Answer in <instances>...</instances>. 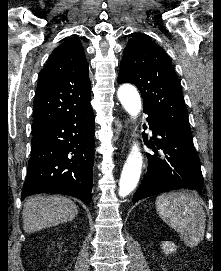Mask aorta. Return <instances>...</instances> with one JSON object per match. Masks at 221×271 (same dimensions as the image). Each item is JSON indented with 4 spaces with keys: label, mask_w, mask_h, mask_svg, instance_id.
I'll use <instances>...</instances> for the list:
<instances>
[{
    "label": "aorta",
    "mask_w": 221,
    "mask_h": 271,
    "mask_svg": "<svg viewBox=\"0 0 221 271\" xmlns=\"http://www.w3.org/2000/svg\"><path fill=\"white\" fill-rule=\"evenodd\" d=\"M117 96L126 112L133 119H136L142 108L137 89L130 84L121 85L118 88ZM142 163L143 157L139 145L134 143L124 164L119 181V195L121 197L129 195L136 188L142 171Z\"/></svg>",
    "instance_id": "aorta-1"
}]
</instances>
